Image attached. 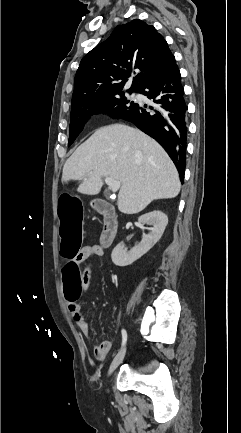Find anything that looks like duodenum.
<instances>
[{
	"mask_svg": "<svg viewBox=\"0 0 241 433\" xmlns=\"http://www.w3.org/2000/svg\"><path fill=\"white\" fill-rule=\"evenodd\" d=\"M95 210L103 216V229L100 237L101 247H109L118 230V218L111 206L100 199L93 200Z\"/></svg>",
	"mask_w": 241,
	"mask_h": 433,
	"instance_id": "1",
	"label": "duodenum"
}]
</instances>
